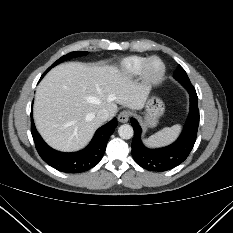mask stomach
<instances>
[{"mask_svg":"<svg viewBox=\"0 0 233 233\" xmlns=\"http://www.w3.org/2000/svg\"><path fill=\"white\" fill-rule=\"evenodd\" d=\"M164 113L163 101L155 96H151L145 103V116L143 124L145 127H155L158 123V119Z\"/></svg>","mask_w":233,"mask_h":233,"instance_id":"1","label":"stomach"}]
</instances>
